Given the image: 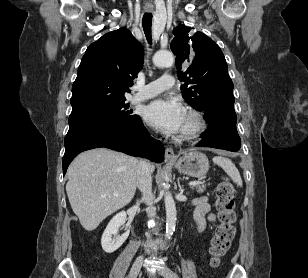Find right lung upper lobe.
<instances>
[{
  "label": "right lung upper lobe",
  "mask_w": 308,
  "mask_h": 278,
  "mask_svg": "<svg viewBox=\"0 0 308 278\" xmlns=\"http://www.w3.org/2000/svg\"><path fill=\"white\" fill-rule=\"evenodd\" d=\"M143 48L126 28L106 33L86 50L72 86L70 116L124 103L143 67Z\"/></svg>",
  "instance_id": "right-lung-upper-lobe-1"
}]
</instances>
